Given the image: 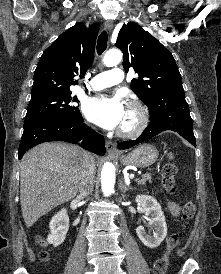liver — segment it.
Segmentation results:
<instances>
[{"label": "liver", "instance_id": "6515ba94", "mask_svg": "<svg viewBox=\"0 0 221 274\" xmlns=\"http://www.w3.org/2000/svg\"><path fill=\"white\" fill-rule=\"evenodd\" d=\"M89 155L78 146L49 142L28 151L20 166V200L26 227L73 199Z\"/></svg>", "mask_w": 221, "mask_h": 274}]
</instances>
